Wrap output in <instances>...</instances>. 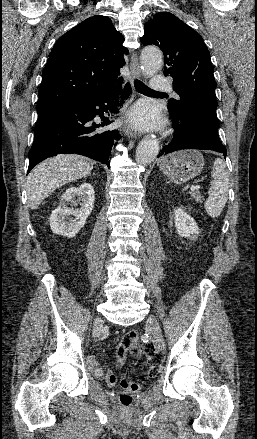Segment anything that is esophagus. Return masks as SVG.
I'll return each instance as SVG.
<instances>
[{"label":"esophagus","mask_w":257,"mask_h":439,"mask_svg":"<svg viewBox=\"0 0 257 439\" xmlns=\"http://www.w3.org/2000/svg\"><path fill=\"white\" fill-rule=\"evenodd\" d=\"M130 73L132 77L131 83H133V78L140 77V68L136 53H133L130 59ZM123 130L129 138H136L138 136L137 131L130 125H125Z\"/></svg>","instance_id":"1"}]
</instances>
